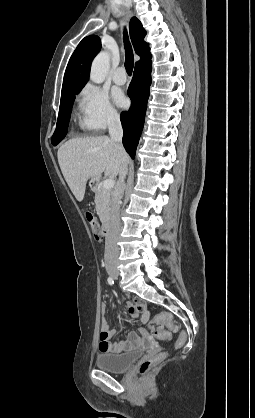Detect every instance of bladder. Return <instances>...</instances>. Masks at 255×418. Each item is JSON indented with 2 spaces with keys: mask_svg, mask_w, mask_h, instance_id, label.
I'll list each match as a JSON object with an SVG mask.
<instances>
[{
  "mask_svg": "<svg viewBox=\"0 0 255 418\" xmlns=\"http://www.w3.org/2000/svg\"><path fill=\"white\" fill-rule=\"evenodd\" d=\"M140 350H132L123 353H102L96 357V365L99 369L112 372H125L140 356Z\"/></svg>",
  "mask_w": 255,
  "mask_h": 418,
  "instance_id": "31cf9c89",
  "label": "bladder"
}]
</instances>
